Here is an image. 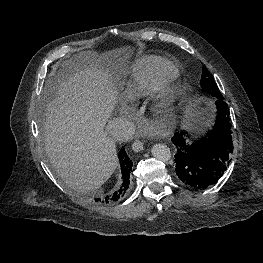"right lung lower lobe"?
Instances as JSON below:
<instances>
[{
  "mask_svg": "<svg viewBox=\"0 0 263 263\" xmlns=\"http://www.w3.org/2000/svg\"><path fill=\"white\" fill-rule=\"evenodd\" d=\"M119 161H120V166L122 170V186L120 190L116 191L113 195L107 196L102 200L103 203H113L118 201L125 193V191L128 189L129 186V176H130V171L132 170L133 163L128 157V155L125 152V149L122 148L119 152ZM96 202L101 201L100 198L95 199Z\"/></svg>",
  "mask_w": 263,
  "mask_h": 263,
  "instance_id": "98d812e1",
  "label": "right lung lower lobe"
}]
</instances>
